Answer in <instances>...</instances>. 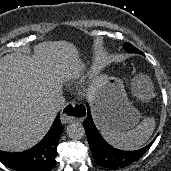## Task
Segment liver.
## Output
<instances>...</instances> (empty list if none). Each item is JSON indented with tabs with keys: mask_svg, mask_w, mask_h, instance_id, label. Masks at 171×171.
Wrapping results in <instances>:
<instances>
[{
	"mask_svg": "<svg viewBox=\"0 0 171 171\" xmlns=\"http://www.w3.org/2000/svg\"><path fill=\"white\" fill-rule=\"evenodd\" d=\"M82 69L77 47L66 41L39 43L33 57L0 58V149L22 151L38 143L58 112L53 106L63 82L79 77ZM99 87V81L90 86L89 100L96 122L102 123Z\"/></svg>",
	"mask_w": 171,
	"mask_h": 171,
	"instance_id": "1",
	"label": "liver"
}]
</instances>
